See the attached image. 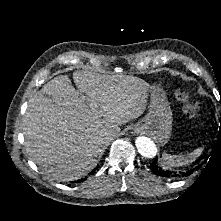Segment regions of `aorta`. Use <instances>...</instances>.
Listing matches in <instances>:
<instances>
[{
  "instance_id": "obj_1",
  "label": "aorta",
  "mask_w": 221,
  "mask_h": 221,
  "mask_svg": "<svg viewBox=\"0 0 221 221\" xmlns=\"http://www.w3.org/2000/svg\"><path fill=\"white\" fill-rule=\"evenodd\" d=\"M135 145L138 152L146 158H154L157 154V147L150 138L145 136L137 137Z\"/></svg>"
}]
</instances>
